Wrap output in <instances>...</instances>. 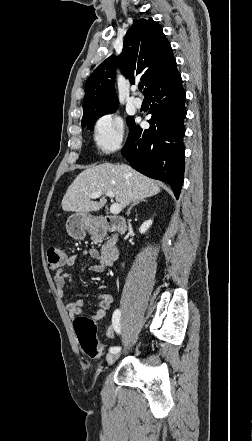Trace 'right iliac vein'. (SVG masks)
Instances as JSON below:
<instances>
[{
	"instance_id": "1",
	"label": "right iliac vein",
	"mask_w": 252,
	"mask_h": 441,
	"mask_svg": "<svg viewBox=\"0 0 252 441\" xmlns=\"http://www.w3.org/2000/svg\"><path fill=\"white\" fill-rule=\"evenodd\" d=\"M120 354L118 353H110L107 355L106 360L108 365H112L116 362V360L119 358Z\"/></svg>"
}]
</instances>
